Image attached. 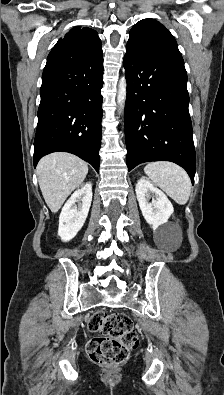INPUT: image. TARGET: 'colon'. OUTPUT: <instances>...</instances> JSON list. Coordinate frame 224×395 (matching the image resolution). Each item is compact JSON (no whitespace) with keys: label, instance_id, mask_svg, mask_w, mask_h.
<instances>
[{"label":"colon","instance_id":"colon-1","mask_svg":"<svg viewBox=\"0 0 224 395\" xmlns=\"http://www.w3.org/2000/svg\"><path fill=\"white\" fill-rule=\"evenodd\" d=\"M88 327L97 333L87 344L88 356L96 364L124 363L137 345L133 323L124 314L96 312L91 316Z\"/></svg>","mask_w":224,"mask_h":395}]
</instances>
